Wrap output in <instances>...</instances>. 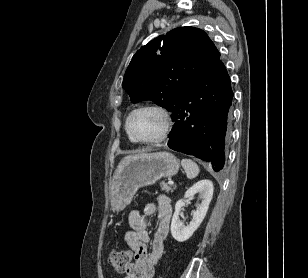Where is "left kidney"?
Masks as SVG:
<instances>
[{
    "label": "left kidney",
    "instance_id": "obj_1",
    "mask_svg": "<svg viewBox=\"0 0 308 278\" xmlns=\"http://www.w3.org/2000/svg\"><path fill=\"white\" fill-rule=\"evenodd\" d=\"M213 190L212 182L204 179L195 183L185 192L184 198H192L195 194H198L201 199V203L198 205L196 211L193 212L192 221H190L187 226H184L179 219V213L185 205V202L181 199L176 203L175 212L171 221V234L176 241L184 242L188 240L198 229L208 211L209 204L213 197Z\"/></svg>",
    "mask_w": 308,
    "mask_h": 278
}]
</instances>
